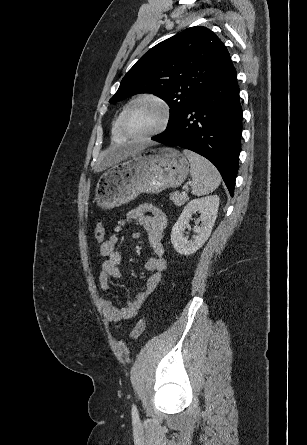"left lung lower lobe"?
<instances>
[{
	"label": "left lung lower lobe",
	"mask_w": 307,
	"mask_h": 445,
	"mask_svg": "<svg viewBox=\"0 0 307 445\" xmlns=\"http://www.w3.org/2000/svg\"><path fill=\"white\" fill-rule=\"evenodd\" d=\"M241 133L239 87L236 70L231 65L224 76L206 90L170 128L151 139L192 150L210 160L233 196Z\"/></svg>",
	"instance_id": "left-lung-lower-lobe-1"
}]
</instances>
